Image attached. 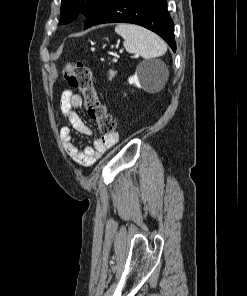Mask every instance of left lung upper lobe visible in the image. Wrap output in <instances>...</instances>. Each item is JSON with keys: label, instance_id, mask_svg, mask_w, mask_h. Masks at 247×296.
<instances>
[{"label": "left lung upper lobe", "instance_id": "obj_1", "mask_svg": "<svg viewBox=\"0 0 247 296\" xmlns=\"http://www.w3.org/2000/svg\"><path fill=\"white\" fill-rule=\"evenodd\" d=\"M103 0H62L61 18L62 24L70 23L78 17L79 13L89 16L94 12Z\"/></svg>", "mask_w": 247, "mask_h": 296}]
</instances>
